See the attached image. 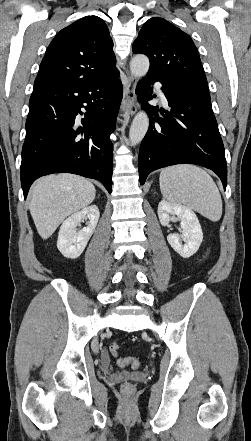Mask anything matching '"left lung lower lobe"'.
Listing matches in <instances>:
<instances>
[{
    "label": "left lung lower lobe",
    "mask_w": 251,
    "mask_h": 441,
    "mask_svg": "<svg viewBox=\"0 0 251 441\" xmlns=\"http://www.w3.org/2000/svg\"><path fill=\"white\" fill-rule=\"evenodd\" d=\"M162 84V91L171 107L159 116L158 106L151 100L154 82ZM138 100L150 117L149 129L139 151V177L143 185L148 174L166 166L192 163L213 170L227 185V166L224 145L212 111L209 91L194 84L146 76L136 88ZM163 114V110L160 109Z\"/></svg>",
    "instance_id": "obj_1"
}]
</instances>
